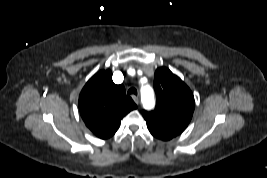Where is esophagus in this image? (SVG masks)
<instances>
[{"label": "esophagus", "instance_id": "34e87169", "mask_svg": "<svg viewBox=\"0 0 267 178\" xmlns=\"http://www.w3.org/2000/svg\"><path fill=\"white\" fill-rule=\"evenodd\" d=\"M132 98H133L134 102H135L137 105L140 103V100H139L138 97H136V96H132Z\"/></svg>", "mask_w": 267, "mask_h": 178}]
</instances>
